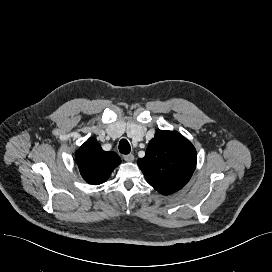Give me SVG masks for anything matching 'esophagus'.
<instances>
[{
  "instance_id": "34e87169",
  "label": "esophagus",
  "mask_w": 272,
  "mask_h": 272,
  "mask_svg": "<svg viewBox=\"0 0 272 272\" xmlns=\"http://www.w3.org/2000/svg\"><path fill=\"white\" fill-rule=\"evenodd\" d=\"M124 160L127 162H132L134 161V155L133 154H128L123 156Z\"/></svg>"
}]
</instances>
